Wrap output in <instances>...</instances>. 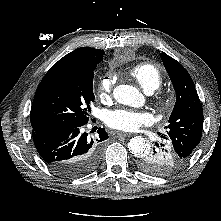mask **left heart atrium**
Masks as SVG:
<instances>
[{
    "label": "left heart atrium",
    "mask_w": 221,
    "mask_h": 221,
    "mask_svg": "<svg viewBox=\"0 0 221 221\" xmlns=\"http://www.w3.org/2000/svg\"><path fill=\"white\" fill-rule=\"evenodd\" d=\"M104 121L110 128L132 132L142 125L149 124L152 117L146 111L121 108L107 111L104 115Z\"/></svg>",
    "instance_id": "39dd6f15"
}]
</instances>
